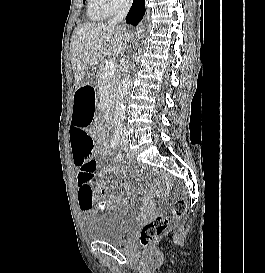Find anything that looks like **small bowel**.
Masks as SVG:
<instances>
[{
	"mask_svg": "<svg viewBox=\"0 0 265 273\" xmlns=\"http://www.w3.org/2000/svg\"><path fill=\"white\" fill-rule=\"evenodd\" d=\"M95 91H78L74 98V110L70 128V143L72 148L73 162L76 167V190L79 209L87 220L95 218L101 210L122 203L120 197H110L107 200L105 189V176L108 173L117 174L118 167L109 165L97 171V161L95 159L96 149L93 141L87 132L89 123L93 122V110L95 106ZM99 152L108 155V150L102 147ZM98 177V182H97ZM92 182H97L93 187ZM99 206H95V203Z\"/></svg>",
	"mask_w": 265,
	"mask_h": 273,
	"instance_id": "1",
	"label": "small bowel"
}]
</instances>
